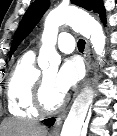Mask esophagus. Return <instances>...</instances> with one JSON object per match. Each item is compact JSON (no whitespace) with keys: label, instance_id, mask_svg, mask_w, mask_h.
<instances>
[{"label":"esophagus","instance_id":"esophagus-1","mask_svg":"<svg viewBox=\"0 0 117 136\" xmlns=\"http://www.w3.org/2000/svg\"><path fill=\"white\" fill-rule=\"evenodd\" d=\"M84 58H85V64H86V76H85L84 81H86V79H87V77L89 75L90 69H91V55H90L89 42H86V47H85V51H84ZM76 94H77V92H76ZM67 112H68V110L64 111L63 113H61L56 118L55 124H54V126H53V128L51 130V134L53 136H58L59 135L63 120L65 119V117L67 115Z\"/></svg>","mask_w":117,"mask_h":136}]
</instances>
